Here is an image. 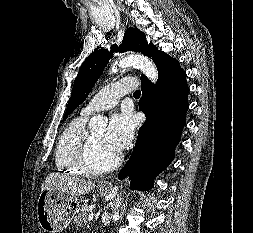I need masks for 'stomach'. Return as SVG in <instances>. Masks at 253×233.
Wrapping results in <instances>:
<instances>
[{
  "mask_svg": "<svg viewBox=\"0 0 253 233\" xmlns=\"http://www.w3.org/2000/svg\"><path fill=\"white\" fill-rule=\"evenodd\" d=\"M109 189L99 186V193L107 194ZM79 207L77 197L56 189L41 191L37 202V219L46 233H57L72 221Z\"/></svg>",
  "mask_w": 253,
  "mask_h": 233,
  "instance_id": "1",
  "label": "stomach"
}]
</instances>
